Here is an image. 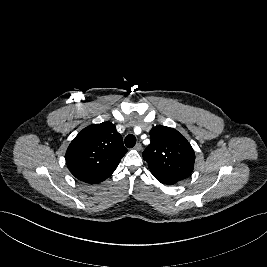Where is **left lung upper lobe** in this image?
<instances>
[{
	"label": "left lung upper lobe",
	"mask_w": 267,
	"mask_h": 267,
	"mask_svg": "<svg viewBox=\"0 0 267 267\" xmlns=\"http://www.w3.org/2000/svg\"><path fill=\"white\" fill-rule=\"evenodd\" d=\"M150 137L143 159L154 177L178 182L190 176L195 153L181 133L170 127L156 126L151 129Z\"/></svg>",
	"instance_id": "obj_1"
}]
</instances>
